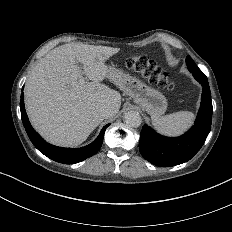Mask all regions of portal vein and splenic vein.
<instances>
[{"label":"portal vein and splenic vein","mask_w":232,"mask_h":232,"mask_svg":"<svg viewBox=\"0 0 232 232\" xmlns=\"http://www.w3.org/2000/svg\"><path fill=\"white\" fill-rule=\"evenodd\" d=\"M79 82L80 83H85V79L82 77V78L79 79Z\"/></svg>","instance_id":"obj_1"}]
</instances>
